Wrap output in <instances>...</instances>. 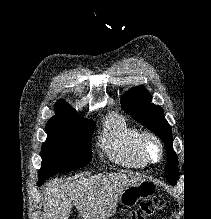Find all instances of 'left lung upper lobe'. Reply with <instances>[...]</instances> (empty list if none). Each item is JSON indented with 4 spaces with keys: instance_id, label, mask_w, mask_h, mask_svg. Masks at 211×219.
<instances>
[{
    "instance_id": "1",
    "label": "left lung upper lobe",
    "mask_w": 211,
    "mask_h": 219,
    "mask_svg": "<svg viewBox=\"0 0 211 219\" xmlns=\"http://www.w3.org/2000/svg\"><path fill=\"white\" fill-rule=\"evenodd\" d=\"M121 107L126 113L132 114L136 121L143 123L164 140L167 156L175 153L172 147L171 126L166 121L162 108L151 103V97L145 88L137 86L128 90L122 97ZM177 160L170 161L168 159L165 169V176L172 185L177 181Z\"/></svg>"
}]
</instances>
